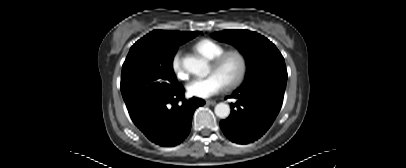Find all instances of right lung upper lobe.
<instances>
[{
    "label": "right lung upper lobe",
    "mask_w": 406,
    "mask_h": 168,
    "mask_svg": "<svg viewBox=\"0 0 406 168\" xmlns=\"http://www.w3.org/2000/svg\"><path fill=\"white\" fill-rule=\"evenodd\" d=\"M202 32H180L154 30L138 40L139 42H151L159 45H180Z\"/></svg>",
    "instance_id": "obj_1"
}]
</instances>
